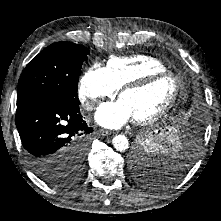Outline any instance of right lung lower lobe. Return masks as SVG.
<instances>
[{
    "mask_svg": "<svg viewBox=\"0 0 221 221\" xmlns=\"http://www.w3.org/2000/svg\"><path fill=\"white\" fill-rule=\"evenodd\" d=\"M16 126L37 175L51 163L63 167L75 145L92 132L82 119L79 103L59 96H35L17 104Z\"/></svg>",
    "mask_w": 221,
    "mask_h": 221,
    "instance_id": "1",
    "label": "right lung lower lobe"
}]
</instances>
